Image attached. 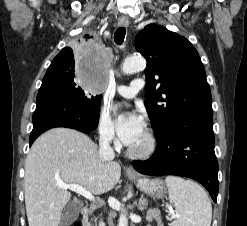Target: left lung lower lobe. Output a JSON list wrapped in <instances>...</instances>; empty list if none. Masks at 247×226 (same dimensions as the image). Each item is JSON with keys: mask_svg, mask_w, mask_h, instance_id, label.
<instances>
[{"mask_svg": "<svg viewBox=\"0 0 247 226\" xmlns=\"http://www.w3.org/2000/svg\"><path fill=\"white\" fill-rule=\"evenodd\" d=\"M157 149L147 161H134L146 175H179L201 183L214 202L218 194V162L214 152L213 111L195 110L155 133Z\"/></svg>", "mask_w": 247, "mask_h": 226, "instance_id": "left-lung-lower-lobe-1", "label": "left lung lower lobe"}]
</instances>
